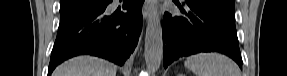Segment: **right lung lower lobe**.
<instances>
[{
	"mask_svg": "<svg viewBox=\"0 0 287 76\" xmlns=\"http://www.w3.org/2000/svg\"><path fill=\"white\" fill-rule=\"evenodd\" d=\"M112 0H96L81 13L61 21L48 68L76 55L99 56L123 65L134 51L142 28L141 7L144 0H124L127 13L108 14Z\"/></svg>",
	"mask_w": 287,
	"mask_h": 76,
	"instance_id": "obj_1",
	"label": "right lung lower lobe"
}]
</instances>
